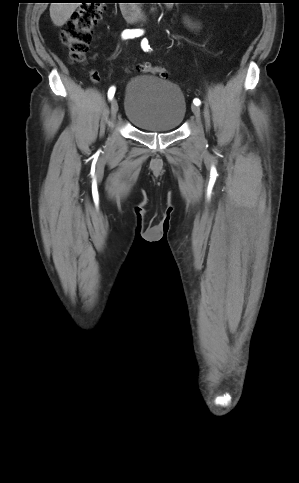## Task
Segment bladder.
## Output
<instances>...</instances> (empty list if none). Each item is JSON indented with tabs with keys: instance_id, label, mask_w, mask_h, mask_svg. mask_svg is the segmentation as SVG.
<instances>
[{
	"instance_id": "obj_1",
	"label": "bladder",
	"mask_w": 299,
	"mask_h": 483,
	"mask_svg": "<svg viewBox=\"0 0 299 483\" xmlns=\"http://www.w3.org/2000/svg\"><path fill=\"white\" fill-rule=\"evenodd\" d=\"M126 119L138 130L175 131L186 114V101L180 88L156 75L132 78L124 91Z\"/></svg>"
}]
</instances>
